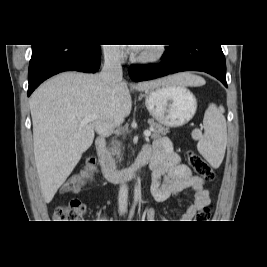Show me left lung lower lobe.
Listing matches in <instances>:
<instances>
[{
    "label": "left lung lower lobe",
    "instance_id": "left-lung-lower-lobe-1",
    "mask_svg": "<svg viewBox=\"0 0 267 267\" xmlns=\"http://www.w3.org/2000/svg\"><path fill=\"white\" fill-rule=\"evenodd\" d=\"M162 62L149 66L129 67L134 81L151 80L182 71H202L226 83V63L221 46L171 44L163 53Z\"/></svg>",
    "mask_w": 267,
    "mask_h": 267
}]
</instances>
